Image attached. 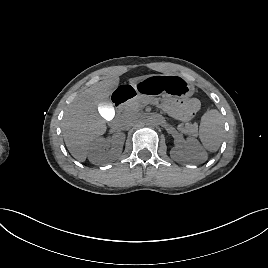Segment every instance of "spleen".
Here are the masks:
<instances>
[{
  "label": "spleen",
  "mask_w": 268,
  "mask_h": 268,
  "mask_svg": "<svg viewBox=\"0 0 268 268\" xmlns=\"http://www.w3.org/2000/svg\"><path fill=\"white\" fill-rule=\"evenodd\" d=\"M223 134V118L219 111L211 109L205 112L199 127V137L205 149L216 152L221 145Z\"/></svg>",
  "instance_id": "3e777b00"
}]
</instances>
